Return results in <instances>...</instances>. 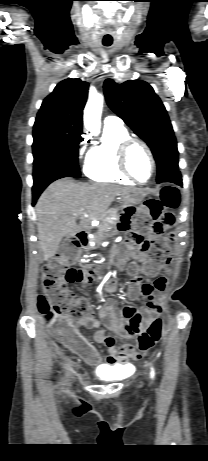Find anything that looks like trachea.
I'll list each match as a JSON object with an SVG mask.
<instances>
[{
  "instance_id": "3493384b",
  "label": "trachea",
  "mask_w": 208,
  "mask_h": 461,
  "mask_svg": "<svg viewBox=\"0 0 208 461\" xmlns=\"http://www.w3.org/2000/svg\"><path fill=\"white\" fill-rule=\"evenodd\" d=\"M105 46H110V44H104Z\"/></svg>"
}]
</instances>
